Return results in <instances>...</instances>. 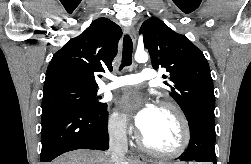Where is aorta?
<instances>
[{"mask_svg":"<svg viewBox=\"0 0 251 164\" xmlns=\"http://www.w3.org/2000/svg\"><path fill=\"white\" fill-rule=\"evenodd\" d=\"M134 58L138 63H145L148 61V54L145 51H137Z\"/></svg>","mask_w":251,"mask_h":164,"instance_id":"aorta-1","label":"aorta"}]
</instances>
